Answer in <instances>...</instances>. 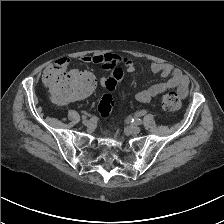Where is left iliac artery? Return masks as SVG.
Segmentation results:
<instances>
[{"label":"left iliac artery","instance_id":"left-iliac-artery-1","mask_svg":"<svg viewBox=\"0 0 224 224\" xmlns=\"http://www.w3.org/2000/svg\"><path fill=\"white\" fill-rule=\"evenodd\" d=\"M132 123L136 124V125H141L142 124V120L139 118H133L132 119Z\"/></svg>","mask_w":224,"mask_h":224}]
</instances>
